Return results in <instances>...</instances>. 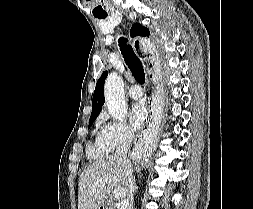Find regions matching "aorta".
I'll list each match as a JSON object with an SVG mask.
<instances>
[{
	"instance_id": "obj_1",
	"label": "aorta",
	"mask_w": 253,
	"mask_h": 209,
	"mask_svg": "<svg viewBox=\"0 0 253 209\" xmlns=\"http://www.w3.org/2000/svg\"><path fill=\"white\" fill-rule=\"evenodd\" d=\"M104 97L109 114L115 120H121L127 113L124 96V84L117 72H111L104 85ZM146 150L149 146L146 145Z\"/></svg>"
}]
</instances>
